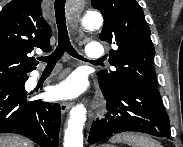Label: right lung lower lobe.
Listing matches in <instances>:
<instances>
[{
  "label": "right lung lower lobe",
  "instance_id": "98d812e1",
  "mask_svg": "<svg viewBox=\"0 0 183 147\" xmlns=\"http://www.w3.org/2000/svg\"><path fill=\"white\" fill-rule=\"evenodd\" d=\"M28 76L0 82V133L21 134L41 147H58L59 104L30 101L24 84Z\"/></svg>",
  "mask_w": 183,
  "mask_h": 147
}]
</instances>
